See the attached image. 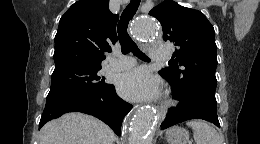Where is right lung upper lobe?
<instances>
[{
  "label": "right lung upper lobe",
  "mask_w": 260,
  "mask_h": 144,
  "mask_svg": "<svg viewBox=\"0 0 260 144\" xmlns=\"http://www.w3.org/2000/svg\"><path fill=\"white\" fill-rule=\"evenodd\" d=\"M109 0H81L61 17L55 36V69L68 65H101L104 53L117 42L119 16Z\"/></svg>",
  "instance_id": "cb5924a9"
}]
</instances>
